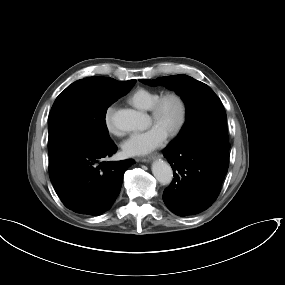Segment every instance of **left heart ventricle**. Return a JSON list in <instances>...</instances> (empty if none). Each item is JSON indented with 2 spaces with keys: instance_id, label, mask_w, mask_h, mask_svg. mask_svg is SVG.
<instances>
[{
  "instance_id": "left-heart-ventricle-1",
  "label": "left heart ventricle",
  "mask_w": 285,
  "mask_h": 285,
  "mask_svg": "<svg viewBox=\"0 0 285 285\" xmlns=\"http://www.w3.org/2000/svg\"><path fill=\"white\" fill-rule=\"evenodd\" d=\"M179 115L180 108L177 101L169 99L162 108L160 118L154 120L151 116L150 123L159 125L167 133L177 123Z\"/></svg>"
}]
</instances>
